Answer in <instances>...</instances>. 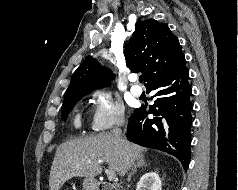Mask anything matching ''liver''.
<instances>
[{
	"instance_id": "obj_1",
	"label": "liver",
	"mask_w": 238,
	"mask_h": 190,
	"mask_svg": "<svg viewBox=\"0 0 238 190\" xmlns=\"http://www.w3.org/2000/svg\"><path fill=\"white\" fill-rule=\"evenodd\" d=\"M144 151L124 138L116 139L112 133L68 140L57 147L49 177L50 190H59L73 177L100 175L103 162L108 164V170L124 176L137 159L143 158Z\"/></svg>"
}]
</instances>
